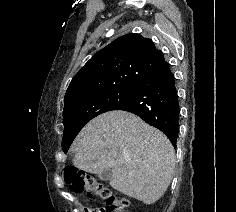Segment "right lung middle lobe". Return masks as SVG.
I'll list each match as a JSON object with an SVG mask.
<instances>
[{
  "label": "right lung middle lobe",
  "instance_id": "right-lung-middle-lobe-1",
  "mask_svg": "<svg viewBox=\"0 0 236 212\" xmlns=\"http://www.w3.org/2000/svg\"><path fill=\"white\" fill-rule=\"evenodd\" d=\"M135 87H122L80 98L64 105L62 148L66 153L79 131L94 117L116 110L127 101Z\"/></svg>",
  "mask_w": 236,
  "mask_h": 212
}]
</instances>
